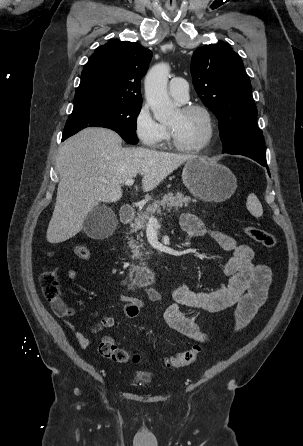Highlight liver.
<instances>
[{"label": "liver", "instance_id": "obj_1", "mask_svg": "<svg viewBox=\"0 0 303 446\" xmlns=\"http://www.w3.org/2000/svg\"><path fill=\"white\" fill-rule=\"evenodd\" d=\"M121 137L105 128H86L60 147L56 204L47 229L49 243L64 242L83 227L88 213L100 202H116L122 184L142 174V188H156L184 162L197 158L136 147L121 146Z\"/></svg>", "mask_w": 303, "mask_h": 446}]
</instances>
